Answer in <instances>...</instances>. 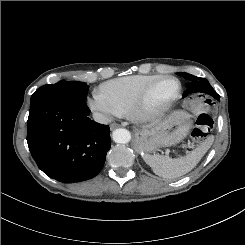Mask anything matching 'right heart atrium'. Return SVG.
<instances>
[{"mask_svg":"<svg viewBox=\"0 0 245 245\" xmlns=\"http://www.w3.org/2000/svg\"><path fill=\"white\" fill-rule=\"evenodd\" d=\"M86 103L90 111L99 122L108 123L114 117L122 115L119 109L99 90L93 92V94L87 98Z\"/></svg>","mask_w":245,"mask_h":245,"instance_id":"right-heart-atrium-1","label":"right heart atrium"}]
</instances>
